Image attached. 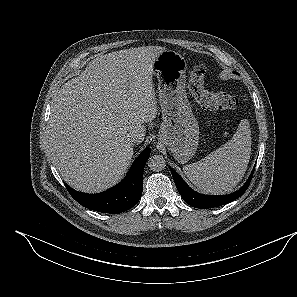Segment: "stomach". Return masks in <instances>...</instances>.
Segmentation results:
<instances>
[{"instance_id":"1","label":"stomach","mask_w":297,"mask_h":297,"mask_svg":"<svg viewBox=\"0 0 297 297\" xmlns=\"http://www.w3.org/2000/svg\"><path fill=\"white\" fill-rule=\"evenodd\" d=\"M186 70L184 57L173 50H164L153 63L163 119L159 140L181 164L187 163L196 153L200 133L187 99Z\"/></svg>"}]
</instances>
